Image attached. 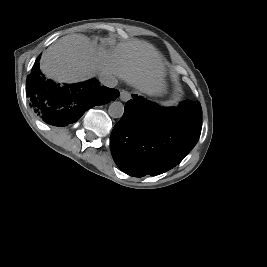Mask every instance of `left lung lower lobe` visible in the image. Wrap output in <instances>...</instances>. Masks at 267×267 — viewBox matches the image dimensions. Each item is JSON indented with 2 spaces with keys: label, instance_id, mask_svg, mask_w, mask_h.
<instances>
[{
  "label": "left lung lower lobe",
  "instance_id": "0a47b994",
  "mask_svg": "<svg viewBox=\"0 0 267 267\" xmlns=\"http://www.w3.org/2000/svg\"><path fill=\"white\" fill-rule=\"evenodd\" d=\"M201 123L198 101L163 108L133 95L110 136L113 159L130 176L164 173L179 164L195 146Z\"/></svg>",
  "mask_w": 267,
  "mask_h": 267
}]
</instances>
